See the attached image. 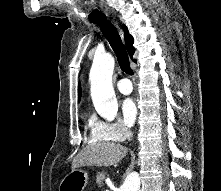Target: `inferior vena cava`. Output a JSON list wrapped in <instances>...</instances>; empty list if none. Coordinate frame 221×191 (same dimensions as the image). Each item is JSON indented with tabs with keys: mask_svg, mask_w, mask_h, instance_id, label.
<instances>
[{
	"mask_svg": "<svg viewBox=\"0 0 221 191\" xmlns=\"http://www.w3.org/2000/svg\"><path fill=\"white\" fill-rule=\"evenodd\" d=\"M127 135H128V139L130 140V139L133 137L132 131H129V132L127 133Z\"/></svg>",
	"mask_w": 221,
	"mask_h": 191,
	"instance_id": "obj_1",
	"label": "inferior vena cava"
}]
</instances>
